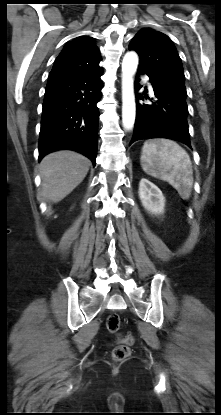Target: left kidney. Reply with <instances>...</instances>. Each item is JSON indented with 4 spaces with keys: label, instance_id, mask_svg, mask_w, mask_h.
I'll return each mask as SVG.
<instances>
[{
    "label": "left kidney",
    "instance_id": "5707ae66",
    "mask_svg": "<svg viewBox=\"0 0 221 415\" xmlns=\"http://www.w3.org/2000/svg\"><path fill=\"white\" fill-rule=\"evenodd\" d=\"M139 197L143 207L151 214L164 213L165 198L161 190L149 180L142 178L139 183Z\"/></svg>",
    "mask_w": 221,
    "mask_h": 415
}]
</instances>
